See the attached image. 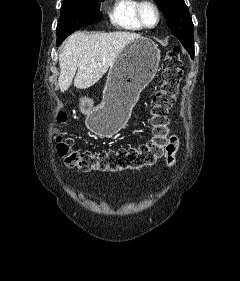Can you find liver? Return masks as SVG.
Masks as SVG:
<instances>
[{"label": "liver", "mask_w": 240, "mask_h": 281, "mask_svg": "<svg viewBox=\"0 0 240 281\" xmlns=\"http://www.w3.org/2000/svg\"><path fill=\"white\" fill-rule=\"evenodd\" d=\"M139 37L140 34L126 31L95 34L79 31L72 34L59 53L58 86L61 92L71 86L73 79L78 89L96 84L114 65L124 47Z\"/></svg>", "instance_id": "obj_1"}]
</instances>
